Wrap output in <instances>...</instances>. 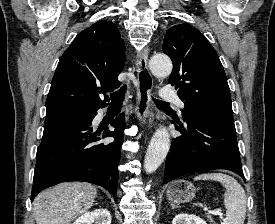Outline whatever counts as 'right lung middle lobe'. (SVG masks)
<instances>
[{
  "label": "right lung middle lobe",
  "instance_id": "right-lung-middle-lobe-1",
  "mask_svg": "<svg viewBox=\"0 0 275 224\" xmlns=\"http://www.w3.org/2000/svg\"><path fill=\"white\" fill-rule=\"evenodd\" d=\"M91 111L92 110L90 109H78V108L62 109V110H57V111L47 113L46 118L61 116V115H86Z\"/></svg>",
  "mask_w": 275,
  "mask_h": 224
}]
</instances>
